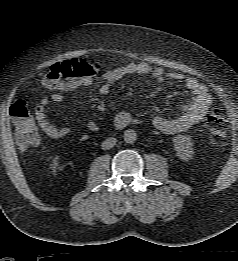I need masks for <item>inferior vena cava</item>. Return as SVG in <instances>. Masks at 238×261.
<instances>
[{"instance_id":"obj_1","label":"inferior vena cava","mask_w":238,"mask_h":261,"mask_svg":"<svg viewBox=\"0 0 238 261\" xmlns=\"http://www.w3.org/2000/svg\"><path fill=\"white\" fill-rule=\"evenodd\" d=\"M116 141H117L116 138L113 137L107 138L102 142L101 147L103 150H109L116 144Z\"/></svg>"}]
</instances>
